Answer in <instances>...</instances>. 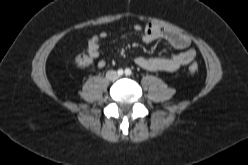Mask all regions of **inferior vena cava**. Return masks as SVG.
I'll use <instances>...</instances> for the list:
<instances>
[{
    "label": "inferior vena cava",
    "instance_id": "602c4592",
    "mask_svg": "<svg viewBox=\"0 0 248 165\" xmlns=\"http://www.w3.org/2000/svg\"><path fill=\"white\" fill-rule=\"evenodd\" d=\"M106 77L109 80L115 81L118 78V75H117L116 71H108L106 73Z\"/></svg>",
    "mask_w": 248,
    "mask_h": 165
}]
</instances>
